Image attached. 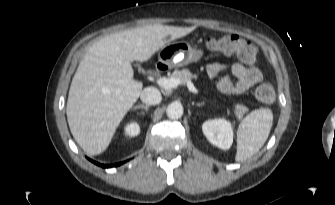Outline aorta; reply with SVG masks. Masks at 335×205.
Returning <instances> with one entry per match:
<instances>
[{
    "instance_id": "762f6f07",
    "label": "aorta",
    "mask_w": 335,
    "mask_h": 205,
    "mask_svg": "<svg viewBox=\"0 0 335 205\" xmlns=\"http://www.w3.org/2000/svg\"><path fill=\"white\" fill-rule=\"evenodd\" d=\"M166 114L170 119H179L183 115V106L179 102H172L167 106Z\"/></svg>"
}]
</instances>
